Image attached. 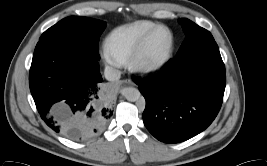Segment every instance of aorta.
I'll return each mask as SVG.
<instances>
[{
  "instance_id": "aorta-1",
  "label": "aorta",
  "mask_w": 267,
  "mask_h": 166,
  "mask_svg": "<svg viewBox=\"0 0 267 166\" xmlns=\"http://www.w3.org/2000/svg\"><path fill=\"white\" fill-rule=\"evenodd\" d=\"M125 98L130 102L138 101L141 97V93L137 88L128 87L124 90Z\"/></svg>"
}]
</instances>
